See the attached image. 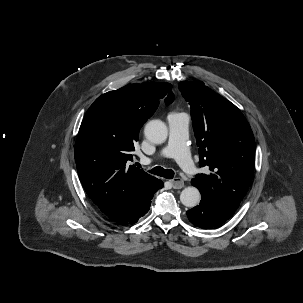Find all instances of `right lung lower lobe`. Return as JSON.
Masks as SVG:
<instances>
[{
  "mask_svg": "<svg viewBox=\"0 0 303 303\" xmlns=\"http://www.w3.org/2000/svg\"><path fill=\"white\" fill-rule=\"evenodd\" d=\"M163 187V182L159 179L149 188L139 194L132 203L122 208L115 215L109 216V219L116 225L129 226L136 223L144 216L151 205L153 194Z\"/></svg>",
  "mask_w": 303,
  "mask_h": 303,
  "instance_id": "1",
  "label": "right lung lower lobe"
}]
</instances>
